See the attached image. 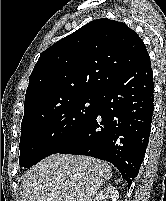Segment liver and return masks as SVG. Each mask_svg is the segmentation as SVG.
Returning a JSON list of instances; mask_svg holds the SVG:
<instances>
[{
    "label": "liver",
    "instance_id": "liver-1",
    "mask_svg": "<svg viewBox=\"0 0 166 201\" xmlns=\"http://www.w3.org/2000/svg\"><path fill=\"white\" fill-rule=\"evenodd\" d=\"M111 176V167L101 160L51 155L24 173L22 201H92Z\"/></svg>",
    "mask_w": 166,
    "mask_h": 201
}]
</instances>
